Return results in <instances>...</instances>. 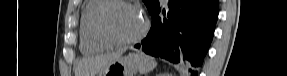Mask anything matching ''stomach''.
Wrapping results in <instances>:
<instances>
[{"label":"stomach","mask_w":287,"mask_h":76,"mask_svg":"<svg viewBox=\"0 0 287 76\" xmlns=\"http://www.w3.org/2000/svg\"><path fill=\"white\" fill-rule=\"evenodd\" d=\"M138 63L131 56L120 57L113 61L99 76H135Z\"/></svg>","instance_id":"1"}]
</instances>
